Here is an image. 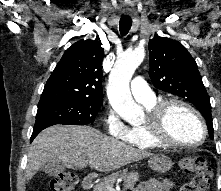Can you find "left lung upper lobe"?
Here are the masks:
<instances>
[{
    "label": "left lung upper lobe",
    "mask_w": 221,
    "mask_h": 191,
    "mask_svg": "<svg viewBox=\"0 0 221 191\" xmlns=\"http://www.w3.org/2000/svg\"><path fill=\"white\" fill-rule=\"evenodd\" d=\"M149 76L154 86L191 102L207 121L213 139L211 104L197 64L178 41L159 37L149 40Z\"/></svg>",
    "instance_id": "left-lung-upper-lobe-1"
}]
</instances>
